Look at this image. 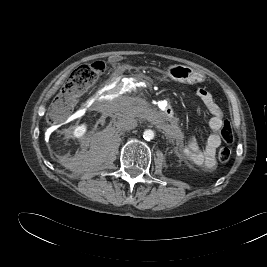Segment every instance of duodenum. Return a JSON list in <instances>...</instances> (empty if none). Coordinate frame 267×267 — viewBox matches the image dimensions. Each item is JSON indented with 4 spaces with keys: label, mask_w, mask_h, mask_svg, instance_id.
<instances>
[{
    "label": "duodenum",
    "mask_w": 267,
    "mask_h": 267,
    "mask_svg": "<svg viewBox=\"0 0 267 267\" xmlns=\"http://www.w3.org/2000/svg\"><path fill=\"white\" fill-rule=\"evenodd\" d=\"M107 92L109 94H115L116 96H123L126 93V85L123 82L109 83L107 85ZM161 112L166 114L169 119L173 120L174 113L171 107H165Z\"/></svg>",
    "instance_id": "duodenum-1"
}]
</instances>
